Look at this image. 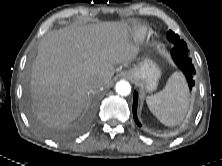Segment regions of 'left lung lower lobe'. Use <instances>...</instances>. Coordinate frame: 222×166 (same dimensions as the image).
<instances>
[{
  "label": "left lung lower lobe",
  "mask_w": 222,
  "mask_h": 166,
  "mask_svg": "<svg viewBox=\"0 0 222 166\" xmlns=\"http://www.w3.org/2000/svg\"><path fill=\"white\" fill-rule=\"evenodd\" d=\"M171 55L176 65L184 73L188 81L189 89L192 90V86H194L193 76L195 75L196 71L192 62V58L189 55V50L187 46L174 45V48L171 50ZM133 117L136 124L139 127H141L142 125L138 121V118H137V93L136 92H134V98H133Z\"/></svg>",
  "instance_id": "left-lung-lower-lobe-1"
}]
</instances>
